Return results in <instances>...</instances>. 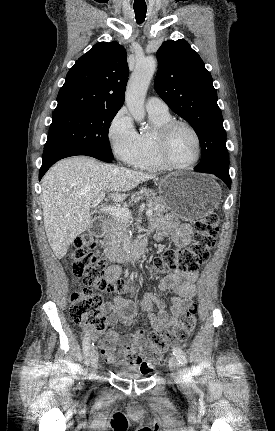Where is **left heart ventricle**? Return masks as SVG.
<instances>
[{
  "label": "left heart ventricle",
  "instance_id": "left-heart-ventricle-1",
  "mask_svg": "<svg viewBox=\"0 0 275 431\" xmlns=\"http://www.w3.org/2000/svg\"><path fill=\"white\" fill-rule=\"evenodd\" d=\"M169 154L171 159L181 165L189 164L196 156V141L193 134L185 127H177L170 139Z\"/></svg>",
  "mask_w": 275,
  "mask_h": 431
}]
</instances>
